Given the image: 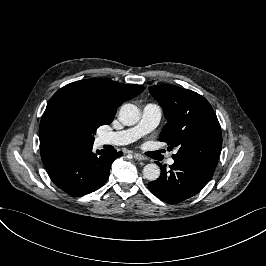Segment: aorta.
Listing matches in <instances>:
<instances>
[{
	"label": "aorta",
	"instance_id": "aorta-1",
	"mask_svg": "<svg viewBox=\"0 0 266 266\" xmlns=\"http://www.w3.org/2000/svg\"><path fill=\"white\" fill-rule=\"evenodd\" d=\"M119 120L126 126H132L140 120V110L137 106L127 103L121 106L119 111ZM161 170L155 163L144 166L143 176L149 181H155L160 177Z\"/></svg>",
	"mask_w": 266,
	"mask_h": 266
}]
</instances>
